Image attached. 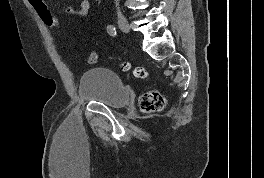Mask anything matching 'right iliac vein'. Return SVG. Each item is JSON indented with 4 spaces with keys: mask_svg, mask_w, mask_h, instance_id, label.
<instances>
[{
    "mask_svg": "<svg viewBox=\"0 0 264 178\" xmlns=\"http://www.w3.org/2000/svg\"><path fill=\"white\" fill-rule=\"evenodd\" d=\"M117 20H118V25H119V28L121 29V31L126 33V34L129 33L130 28H129V24H128L127 19L122 14H118Z\"/></svg>",
    "mask_w": 264,
    "mask_h": 178,
    "instance_id": "obj_1",
    "label": "right iliac vein"
}]
</instances>
